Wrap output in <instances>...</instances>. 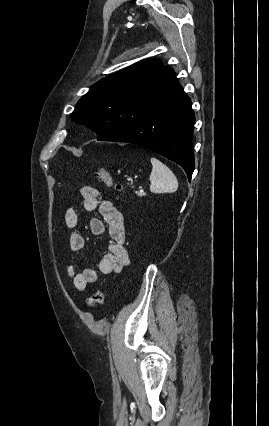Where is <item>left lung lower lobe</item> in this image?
Listing matches in <instances>:
<instances>
[{
  "label": "left lung lower lobe",
  "mask_w": 269,
  "mask_h": 426,
  "mask_svg": "<svg viewBox=\"0 0 269 426\" xmlns=\"http://www.w3.org/2000/svg\"><path fill=\"white\" fill-rule=\"evenodd\" d=\"M195 116L174 71L164 67L133 95L114 133L105 141L133 143L179 164L191 180L194 171L192 133Z\"/></svg>",
  "instance_id": "1"
}]
</instances>
